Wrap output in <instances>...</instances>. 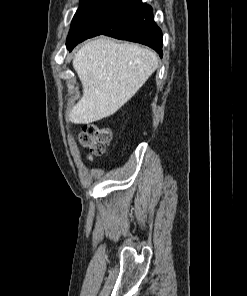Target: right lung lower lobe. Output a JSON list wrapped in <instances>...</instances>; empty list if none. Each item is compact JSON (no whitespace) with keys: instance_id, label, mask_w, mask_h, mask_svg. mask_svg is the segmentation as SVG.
I'll return each mask as SVG.
<instances>
[{"instance_id":"98d812e1","label":"right lung lower lobe","mask_w":247,"mask_h":296,"mask_svg":"<svg viewBox=\"0 0 247 296\" xmlns=\"http://www.w3.org/2000/svg\"><path fill=\"white\" fill-rule=\"evenodd\" d=\"M87 28L84 40L104 34L147 45L162 57V31L154 22L152 7L141 0H110Z\"/></svg>"}]
</instances>
